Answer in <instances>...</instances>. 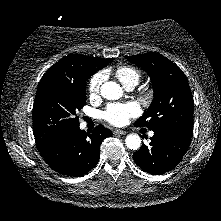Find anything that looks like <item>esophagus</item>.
<instances>
[{
    "instance_id": "obj_1",
    "label": "esophagus",
    "mask_w": 221,
    "mask_h": 221,
    "mask_svg": "<svg viewBox=\"0 0 221 221\" xmlns=\"http://www.w3.org/2000/svg\"><path fill=\"white\" fill-rule=\"evenodd\" d=\"M113 133H114L115 135H126V134H127L126 131L121 130V129H115V130L113 131Z\"/></svg>"
}]
</instances>
